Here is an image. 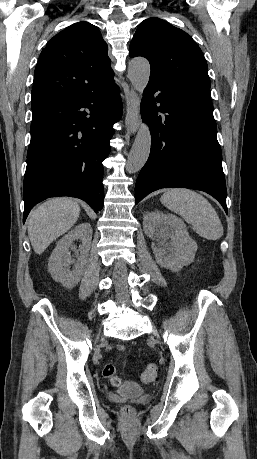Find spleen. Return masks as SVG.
<instances>
[{"label": "spleen", "mask_w": 257, "mask_h": 459, "mask_svg": "<svg viewBox=\"0 0 257 459\" xmlns=\"http://www.w3.org/2000/svg\"><path fill=\"white\" fill-rule=\"evenodd\" d=\"M161 202L192 225L193 230L208 240H217L223 235V226L215 209L201 194L185 189L167 190Z\"/></svg>", "instance_id": "spleen-1"}]
</instances>
